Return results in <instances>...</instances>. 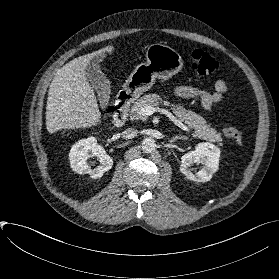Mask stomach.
<instances>
[{
	"instance_id": "stomach-1",
	"label": "stomach",
	"mask_w": 279,
	"mask_h": 279,
	"mask_svg": "<svg viewBox=\"0 0 279 279\" xmlns=\"http://www.w3.org/2000/svg\"><path fill=\"white\" fill-rule=\"evenodd\" d=\"M146 59L147 62L139 65L129 77L128 83L135 90H147L156 78L168 79L183 68L180 54L161 43L148 46Z\"/></svg>"
}]
</instances>
